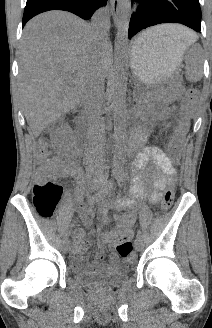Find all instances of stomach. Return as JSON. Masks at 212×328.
I'll return each instance as SVG.
<instances>
[{
	"label": "stomach",
	"mask_w": 212,
	"mask_h": 328,
	"mask_svg": "<svg viewBox=\"0 0 212 328\" xmlns=\"http://www.w3.org/2000/svg\"><path fill=\"white\" fill-rule=\"evenodd\" d=\"M185 48L164 39H149L143 46L133 45L131 68L146 85H154L175 73Z\"/></svg>",
	"instance_id": "obj_1"
}]
</instances>
